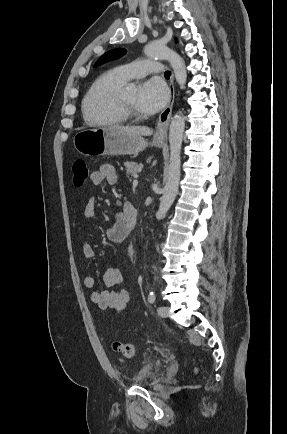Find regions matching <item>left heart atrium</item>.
<instances>
[{"label":"left heart atrium","instance_id":"obj_1","mask_svg":"<svg viewBox=\"0 0 287 434\" xmlns=\"http://www.w3.org/2000/svg\"><path fill=\"white\" fill-rule=\"evenodd\" d=\"M169 90L165 83L157 78L143 82L136 94V103L140 111L153 114L165 106Z\"/></svg>","mask_w":287,"mask_h":434}]
</instances>
